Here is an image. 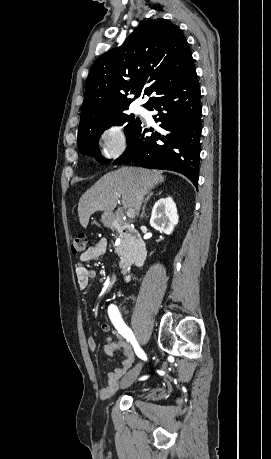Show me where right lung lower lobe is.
<instances>
[{
  "label": "right lung lower lobe",
  "mask_w": 271,
  "mask_h": 459,
  "mask_svg": "<svg viewBox=\"0 0 271 459\" xmlns=\"http://www.w3.org/2000/svg\"><path fill=\"white\" fill-rule=\"evenodd\" d=\"M145 108L159 111L153 116L160 123L159 131L149 136L141 124L130 136L124 154L113 164L134 162L145 168L176 171L197 187L202 107L196 71L165 87Z\"/></svg>",
  "instance_id": "obj_1"
}]
</instances>
